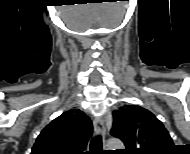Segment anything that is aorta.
Returning a JSON list of instances; mask_svg holds the SVG:
<instances>
[{
	"label": "aorta",
	"instance_id": "1",
	"mask_svg": "<svg viewBox=\"0 0 190 154\" xmlns=\"http://www.w3.org/2000/svg\"><path fill=\"white\" fill-rule=\"evenodd\" d=\"M124 145L121 140L119 139H110L107 141L106 148L107 150H116V149H123Z\"/></svg>",
	"mask_w": 190,
	"mask_h": 154
}]
</instances>
